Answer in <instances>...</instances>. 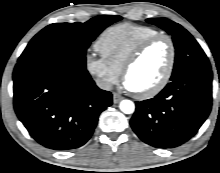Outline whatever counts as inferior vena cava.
I'll use <instances>...</instances> for the list:
<instances>
[{
  "instance_id": "obj_1",
  "label": "inferior vena cava",
  "mask_w": 220,
  "mask_h": 173,
  "mask_svg": "<svg viewBox=\"0 0 220 173\" xmlns=\"http://www.w3.org/2000/svg\"><path fill=\"white\" fill-rule=\"evenodd\" d=\"M96 84L100 89L103 90H111L112 88V84L105 79H101V78L96 79Z\"/></svg>"
}]
</instances>
